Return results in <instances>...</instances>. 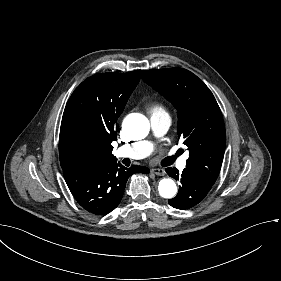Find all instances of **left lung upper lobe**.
I'll return each mask as SVG.
<instances>
[{
    "label": "left lung upper lobe",
    "mask_w": 281,
    "mask_h": 281,
    "mask_svg": "<svg viewBox=\"0 0 281 281\" xmlns=\"http://www.w3.org/2000/svg\"><path fill=\"white\" fill-rule=\"evenodd\" d=\"M142 79L177 109L178 135L189 150L186 168L215 183L223 161L226 132L211 91L196 75L181 68L142 71Z\"/></svg>",
    "instance_id": "1"
}]
</instances>
